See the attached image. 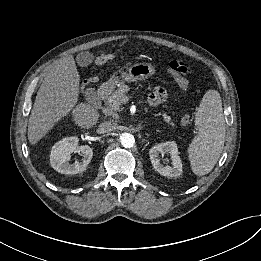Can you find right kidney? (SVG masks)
Segmentation results:
<instances>
[{"label": "right kidney", "instance_id": "1", "mask_svg": "<svg viewBox=\"0 0 261 261\" xmlns=\"http://www.w3.org/2000/svg\"><path fill=\"white\" fill-rule=\"evenodd\" d=\"M73 152H81V162L75 161L69 164L70 155ZM93 156L92 149L87 146H78L76 136L66 137L54 144L50 153V164L53 169L62 174H77L83 172Z\"/></svg>", "mask_w": 261, "mask_h": 261}]
</instances>
